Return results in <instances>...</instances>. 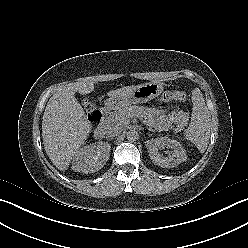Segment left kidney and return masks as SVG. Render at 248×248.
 <instances>
[{
	"mask_svg": "<svg viewBox=\"0 0 248 248\" xmlns=\"http://www.w3.org/2000/svg\"><path fill=\"white\" fill-rule=\"evenodd\" d=\"M146 147L151 160L163 168H173L186 161V151L176 140L167 137L155 138L146 141ZM160 148H169L173 151L168 157H164L159 153Z\"/></svg>",
	"mask_w": 248,
	"mask_h": 248,
	"instance_id": "left-kidney-1",
	"label": "left kidney"
}]
</instances>
